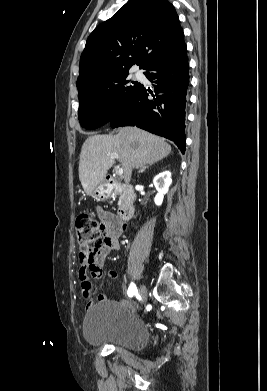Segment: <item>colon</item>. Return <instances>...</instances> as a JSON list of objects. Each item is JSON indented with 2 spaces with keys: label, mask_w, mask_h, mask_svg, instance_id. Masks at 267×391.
<instances>
[{
  "label": "colon",
  "mask_w": 267,
  "mask_h": 391,
  "mask_svg": "<svg viewBox=\"0 0 267 391\" xmlns=\"http://www.w3.org/2000/svg\"><path fill=\"white\" fill-rule=\"evenodd\" d=\"M75 233L80 253L95 255L103 245V225L90 213L81 212L75 221Z\"/></svg>",
  "instance_id": "colon-1"
}]
</instances>
